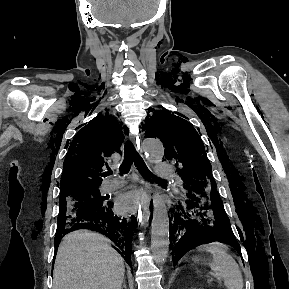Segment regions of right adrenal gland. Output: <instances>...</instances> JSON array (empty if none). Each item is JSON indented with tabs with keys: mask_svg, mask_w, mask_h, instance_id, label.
<instances>
[{
	"mask_svg": "<svg viewBox=\"0 0 289 289\" xmlns=\"http://www.w3.org/2000/svg\"><path fill=\"white\" fill-rule=\"evenodd\" d=\"M123 288H124V289H127V287H126V280H125V279L123 280V286H122V289H123Z\"/></svg>",
	"mask_w": 289,
	"mask_h": 289,
	"instance_id": "obj_1",
	"label": "right adrenal gland"
}]
</instances>
